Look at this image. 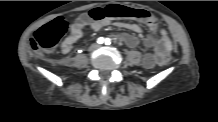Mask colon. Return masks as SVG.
I'll return each mask as SVG.
<instances>
[{"label": "colon", "mask_w": 218, "mask_h": 122, "mask_svg": "<svg viewBox=\"0 0 218 122\" xmlns=\"http://www.w3.org/2000/svg\"><path fill=\"white\" fill-rule=\"evenodd\" d=\"M90 16L94 20H100L103 18L132 17L144 20L151 27L157 25L159 22L158 18L154 14L146 10L131 9L120 5H110L103 10L95 9L90 12ZM69 26V20L59 17L41 27L34 35V48L44 52L51 51L56 46L59 39L66 33ZM172 61V55H165L157 61V66L164 67L165 65H170Z\"/></svg>", "instance_id": "1"}]
</instances>
